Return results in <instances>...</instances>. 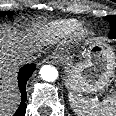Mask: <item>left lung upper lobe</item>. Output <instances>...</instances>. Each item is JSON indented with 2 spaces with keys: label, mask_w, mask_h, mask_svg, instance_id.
<instances>
[{
  "label": "left lung upper lobe",
  "mask_w": 116,
  "mask_h": 116,
  "mask_svg": "<svg viewBox=\"0 0 116 116\" xmlns=\"http://www.w3.org/2000/svg\"><path fill=\"white\" fill-rule=\"evenodd\" d=\"M110 23L111 29L109 32V38L116 39V16H106L104 17Z\"/></svg>",
  "instance_id": "1"
}]
</instances>
